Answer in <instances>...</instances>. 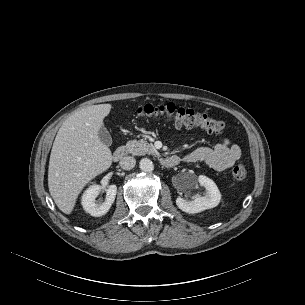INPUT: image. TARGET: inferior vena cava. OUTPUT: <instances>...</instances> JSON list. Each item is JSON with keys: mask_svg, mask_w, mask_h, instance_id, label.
Instances as JSON below:
<instances>
[{"mask_svg": "<svg viewBox=\"0 0 305 305\" xmlns=\"http://www.w3.org/2000/svg\"><path fill=\"white\" fill-rule=\"evenodd\" d=\"M119 164L122 169L130 170V169L134 168V166L136 164V160H135V158H133L131 156H125L120 160Z\"/></svg>", "mask_w": 305, "mask_h": 305, "instance_id": "602c4592", "label": "inferior vena cava"}]
</instances>
